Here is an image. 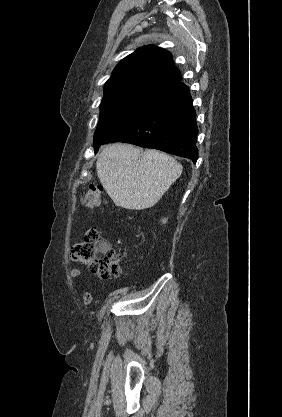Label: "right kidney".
<instances>
[{
	"instance_id": "ca27d5eb",
	"label": "right kidney",
	"mask_w": 282,
	"mask_h": 417,
	"mask_svg": "<svg viewBox=\"0 0 282 417\" xmlns=\"http://www.w3.org/2000/svg\"><path fill=\"white\" fill-rule=\"evenodd\" d=\"M162 223H167V219H162Z\"/></svg>"
}]
</instances>
